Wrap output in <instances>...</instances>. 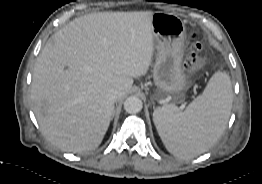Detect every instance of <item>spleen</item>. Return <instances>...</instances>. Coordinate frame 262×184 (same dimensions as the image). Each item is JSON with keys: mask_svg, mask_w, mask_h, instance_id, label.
I'll return each instance as SVG.
<instances>
[{"mask_svg": "<svg viewBox=\"0 0 262 184\" xmlns=\"http://www.w3.org/2000/svg\"><path fill=\"white\" fill-rule=\"evenodd\" d=\"M233 103L229 75L217 71L203 93L182 111L173 104L158 107L153 121L166 149L179 159L194 158L221 137Z\"/></svg>", "mask_w": 262, "mask_h": 184, "instance_id": "3e777b00", "label": "spleen"}]
</instances>
